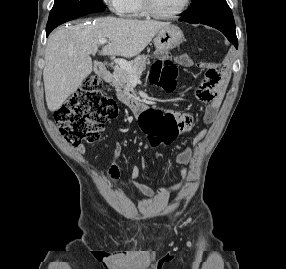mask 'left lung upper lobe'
I'll list each match as a JSON object with an SVG mask.
<instances>
[{
    "label": "left lung upper lobe",
    "mask_w": 286,
    "mask_h": 269,
    "mask_svg": "<svg viewBox=\"0 0 286 269\" xmlns=\"http://www.w3.org/2000/svg\"><path fill=\"white\" fill-rule=\"evenodd\" d=\"M181 20L188 23H218L235 27L232 11L226 0H192Z\"/></svg>",
    "instance_id": "left-lung-upper-lobe-1"
}]
</instances>
